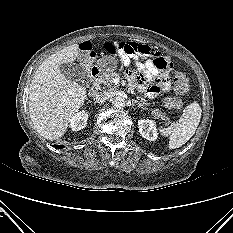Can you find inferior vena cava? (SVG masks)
<instances>
[{
  "label": "inferior vena cava",
  "mask_w": 233,
  "mask_h": 233,
  "mask_svg": "<svg viewBox=\"0 0 233 233\" xmlns=\"http://www.w3.org/2000/svg\"><path fill=\"white\" fill-rule=\"evenodd\" d=\"M108 98V93H97L94 97V101L96 103H104Z\"/></svg>",
  "instance_id": "inferior-vena-cava-1"
}]
</instances>
